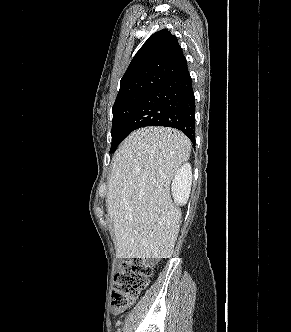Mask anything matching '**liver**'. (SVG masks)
Returning <instances> with one entry per match:
<instances>
[{
	"instance_id": "liver-1",
	"label": "liver",
	"mask_w": 291,
	"mask_h": 332,
	"mask_svg": "<svg viewBox=\"0 0 291 332\" xmlns=\"http://www.w3.org/2000/svg\"><path fill=\"white\" fill-rule=\"evenodd\" d=\"M190 152V140L168 127L138 129L119 146L107 192L117 258L172 256L181 210L170 183Z\"/></svg>"
}]
</instances>
